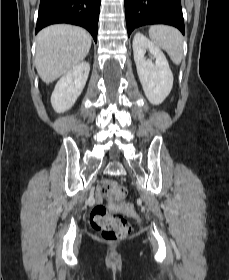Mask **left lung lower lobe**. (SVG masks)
Instances as JSON below:
<instances>
[{
    "instance_id": "0a47b994",
    "label": "left lung lower lobe",
    "mask_w": 229,
    "mask_h": 280,
    "mask_svg": "<svg viewBox=\"0 0 229 280\" xmlns=\"http://www.w3.org/2000/svg\"><path fill=\"white\" fill-rule=\"evenodd\" d=\"M128 36L140 26L168 24L184 34L181 0H125Z\"/></svg>"
}]
</instances>
